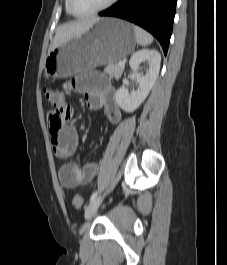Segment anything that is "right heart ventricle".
Instances as JSON below:
<instances>
[{
  "instance_id": "obj_1",
  "label": "right heart ventricle",
  "mask_w": 227,
  "mask_h": 265,
  "mask_svg": "<svg viewBox=\"0 0 227 265\" xmlns=\"http://www.w3.org/2000/svg\"><path fill=\"white\" fill-rule=\"evenodd\" d=\"M65 8H66V12L71 15V13L69 12L68 7H67V0H65Z\"/></svg>"
}]
</instances>
